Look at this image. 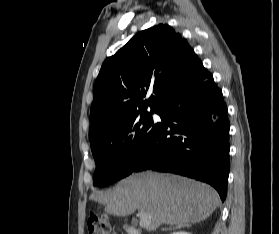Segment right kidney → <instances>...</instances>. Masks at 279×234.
<instances>
[{
	"mask_svg": "<svg viewBox=\"0 0 279 234\" xmlns=\"http://www.w3.org/2000/svg\"><path fill=\"white\" fill-rule=\"evenodd\" d=\"M172 234H191V233L185 231H177V232H173Z\"/></svg>",
	"mask_w": 279,
	"mask_h": 234,
	"instance_id": "right-kidney-1",
	"label": "right kidney"
}]
</instances>
